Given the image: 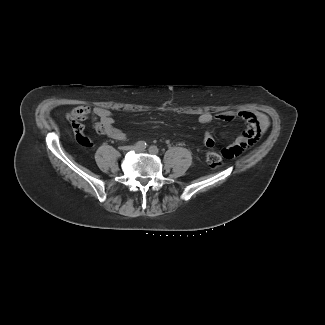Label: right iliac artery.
<instances>
[{
  "label": "right iliac artery",
  "mask_w": 325,
  "mask_h": 325,
  "mask_svg": "<svg viewBox=\"0 0 325 325\" xmlns=\"http://www.w3.org/2000/svg\"><path fill=\"white\" fill-rule=\"evenodd\" d=\"M135 145L137 148L145 149L147 144L145 141H138Z\"/></svg>",
  "instance_id": "right-iliac-artery-1"
}]
</instances>
